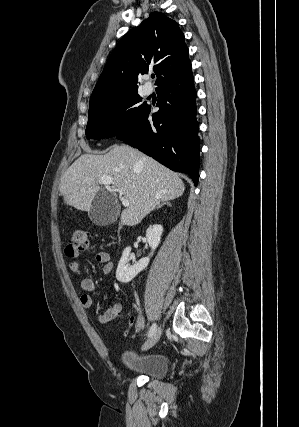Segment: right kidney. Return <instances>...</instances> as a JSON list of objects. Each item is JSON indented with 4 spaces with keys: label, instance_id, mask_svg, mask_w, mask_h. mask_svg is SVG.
Segmentation results:
<instances>
[{
    "label": "right kidney",
    "instance_id": "1",
    "mask_svg": "<svg viewBox=\"0 0 299 427\" xmlns=\"http://www.w3.org/2000/svg\"><path fill=\"white\" fill-rule=\"evenodd\" d=\"M163 232V227L159 224H154L150 226L146 231V239L151 247V253L148 257L140 259L138 262L133 265L129 264L131 248L126 247L122 253V257L118 263L116 270V278L119 282L128 283L136 277V275L144 270L150 261V257L153 255V252L158 247L161 236Z\"/></svg>",
    "mask_w": 299,
    "mask_h": 427
}]
</instances>
